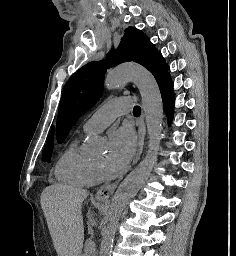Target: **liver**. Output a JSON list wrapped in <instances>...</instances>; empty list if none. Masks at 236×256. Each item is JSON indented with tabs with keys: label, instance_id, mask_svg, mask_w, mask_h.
<instances>
[{
	"label": "liver",
	"instance_id": "6515ba94",
	"mask_svg": "<svg viewBox=\"0 0 236 256\" xmlns=\"http://www.w3.org/2000/svg\"><path fill=\"white\" fill-rule=\"evenodd\" d=\"M87 190L54 184L41 194V206L58 256H80L84 242L82 202Z\"/></svg>",
	"mask_w": 236,
	"mask_h": 256
}]
</instances>
